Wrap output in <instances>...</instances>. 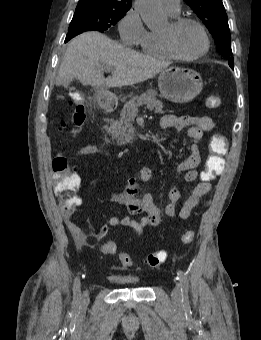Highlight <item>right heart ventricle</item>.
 <instances>
[{
  "label": "right heart ventricle",
  "instance_id": "right-heart-ventricle-1",
  "mask_svg": "<svg viewBox=\"0 0 261 340\" xmlns=\"http://www.w3.org/2000/svg\"><path fill=\"white\" fill-rule=\"evenodd\" d=\"M138 44L142 51L148 56L161 59L172 57L163 45L160 32L147 31Z\"/></svg>",
  "mask_w": 261,
  "mask_h": 340
}]
</instances>
